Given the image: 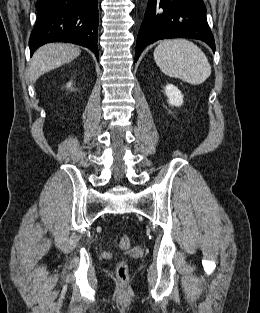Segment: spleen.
<instances>
[{
  "label": "spleen",
  "mask_w": 260,
  "mask_h": 313,
  "mask_svg": "<svg viewBox=\"0 0 260 313\" xmlns=\"http://www.w3.org/2000/svg\"><path fill=\"white\" fill-rule=\"evenodd\" d=\"M154 60L165 75L191 85L203 83L211 74L204 52L186 39L161 41L154 50Z\"/></svg>",
  "instance_id": "obj_1"
}]
</instances>
